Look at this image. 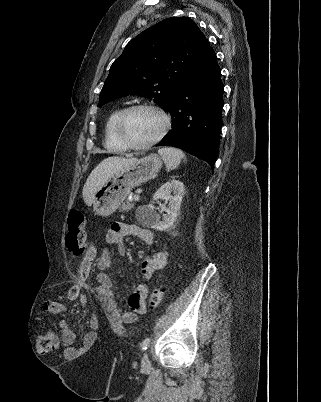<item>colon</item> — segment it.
I'll return each mask as SVG.
<instances>
[{
  "label": "colon",
  "instance_id": "obj_1",
  "mask_svg": "<svg viewBox=\"0 0 321 402\" xmlns=\"http://www.w3.org/2000/svg\"><path fill=\"white\" fill-rule=\"evenodd\" d=\"M85 215L80 209H74L67 216L68 231L65 236L66 248L76 258H79L78 279L75 285L69 289V299L74 300L78 294L85 293L86 279L89 277L92 265L96 256V248L86 239ZM164 289L156 288L150 295V305L157 307L163 299ZM131 308L135 311L143 312L145 309V300L130 302ZM60 346V336L54 329H48L38 340V350L41 353H50Z\"/></svg>",
  "mask_w": 321,
  "mask_h": 402
}]
</instances>
